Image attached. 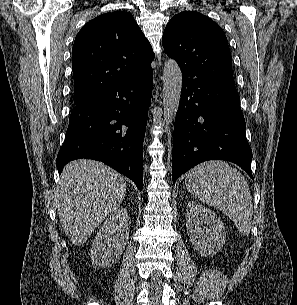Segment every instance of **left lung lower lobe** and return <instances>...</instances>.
<instances>
[{
  "label": "left lung lower lobe",
  "mask_w": 297,
  "mask_h": 305,
  "mask_svg": "<svg viewBox=\"0 0 297 305\" xmlns=\"http://www.w3.org/2000/svg\"><path fill=\"white\" fill-rule=\"evenodd\" d=\"M183 88L173 134V183L207 160L239 165L252 179V150L232 76L197 78L182 71Z\"/></svg>",
  "instance_id": "0a47b994"
}]
</instances>
